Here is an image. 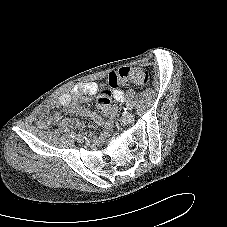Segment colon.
I'll return each mask as SVG.
<instances>
[{
	"label": "colon",
	"instance_id": "obj_1",
	"mask_svg": "<svg viewBox=\"0 0 227 227\" xmlns=\"http://www.w3.org/2000/svg\"><path fill=\"white\" fill-rule=\"evenodd\" d=\"M149 82V75L138 67H123L113 71L108 76L109 90H104L97 96V106L101 112H106L112 106V91L120 86L132 83L138 86H146Z\"/></svg>",
	"mask_w": 227,
	"mask_h": 227
}]
</instances>
